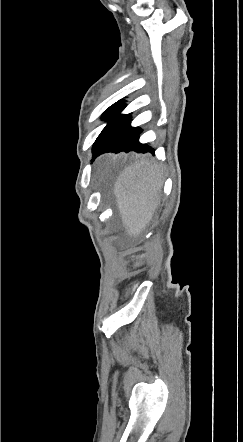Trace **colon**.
Returning a JSON list of instances; mask_svg holds the SVG:
<instances>
[{"label": "colon", "mask_w": 243, "mask_h": 442, "mask_svg": "<svg viewBox=\"0 0 243 442\" xmlns=\"http://www.w3.org/2000/svg\"><path fill=\"white\" fill-rule=\"evenodd\" d=\"M128 265L127 268H140L145 262H149L151 257L145 254H130L127 257Z\"/></svg>", "instance_id": "colon-1"}]
</instances>
